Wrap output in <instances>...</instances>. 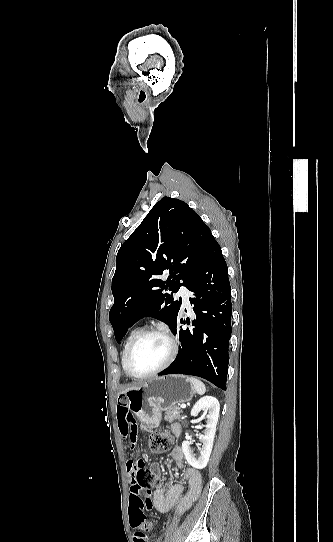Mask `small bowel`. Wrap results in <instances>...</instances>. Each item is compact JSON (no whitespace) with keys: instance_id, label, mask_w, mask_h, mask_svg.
<instances>
[{"instance_id":"c3829d8e","label":"small bowel","mask_w":333,"mask_h":542,"mask_svg":"<svg viewBox=\"0 0 333 542\" xmlns=\"http://www.w3.org/2000/svg\"><path fill=\"white\" fill-rule=\"evenodd\" d=\"M116 415L120 436L126 444H130V447L134 448L137 440V426L132 413L127 406L119 404L116 409ZM171 431L174 435L179 436L181 433L180 425L173 424ZM171 457L175 464L182 470L181 478L177 482L167 484L164 488H156L153 492V505L157 511L165 513L170 511L178 502L177 514L181 515L199 498L202 489V477L200 472L195 468L185 466L183 451L180 447L173 448ZM127 467L133 476L134 462H129ZM183 482H186L187 492L180 498L184 488ZM134 486L135 484L133 488ZM137 519L138 510L135 501L131 500L129 523L134 529L141 528V523L136 522Z\"/></svg>"}]
</instances>
